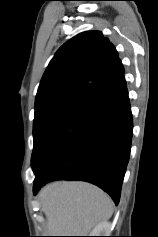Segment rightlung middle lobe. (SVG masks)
I'll return each instance as SVG.
<instances>
[{"instance_id":"right-lung-middle-lobe-1","label":"right lung middle lobe","mask_w":158,"mask_h":237,"mask_svg":"<svg viewBox=\"0 0 158 237\" xmlns=\"http://www.w3.org/2000/svg\"><path fill=\"white\" fill-rule=\"evenodd\" d=\"M83 102L69 97L48 99L35 104L34 157L41 141Z\"/></svg>"}]
</instances>
